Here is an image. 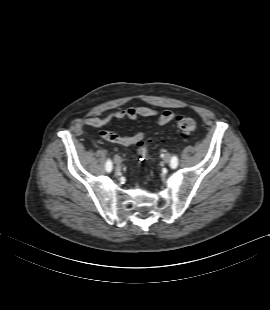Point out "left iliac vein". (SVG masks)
Masks as SVG:
<instances>
[{
  "label": "left iliac vein",
  "mask_w": 270,
  "mask_h": 310,
  "mask_svg": "<svg viewBox=\"0 0 270 310\" xmlns=\"http://www.w3.org/2000/svg\"><path fill=\"white\" fill-rule=\"evenodd\" d=\"M163 161L165 163H170L171 162V155L170 154H165Z\"/></svg>",
  "instance_id": "1"
}]
</instances>
